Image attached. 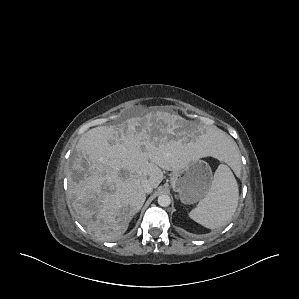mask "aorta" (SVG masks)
Segmentation results:
<instances>
[{
  "mask_svg": "<svg viewBox=\"0 0 299 299\" xmlns=\"http://www.w3.org/2000/svg\"><path fill=\"white\" fill-rule=\"evenodd\" d=\"M158 204L162 207H167L171 204L170 196L162 194L158 196Z\"/></svg>",
  "mask_w": 299,
  "mask_h": 299,
  "instance_id": "1",
  "label": "aorta"
}]
</instances>
